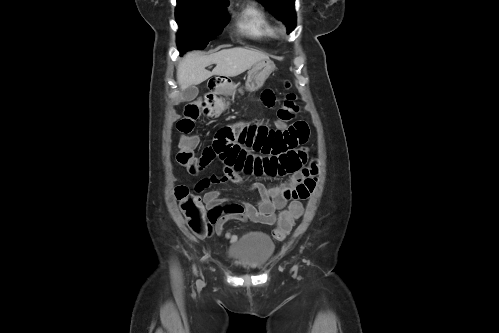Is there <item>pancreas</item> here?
Instances as JSON below:
<instances>
[{
	"label": "pancreas",
	"mask_w": 499,
	"mask_h": 333,
	"mask_svg": "<svg viewBox=\"0 0 499 333\" xmlns=\"http://www.w3.org/2000/svg\"><path fill=\"white\" fill-rule=\"evenodd\" d=\"M239 92L243 93V90L239 89ZM221 107H222V109H227L229 107V102H222Z\"/></svg>",
	"instance_id": "pancreas-1"
}]
</instances>
